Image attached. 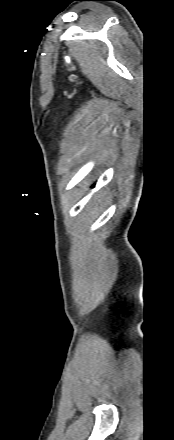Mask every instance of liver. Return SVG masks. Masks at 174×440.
<instances>
[{"mask_svg":"<svg viewBox=\"0 0 174 440\" xmlns=\"http://www.w3.org/2000/svg\"><path fill=\"white\" fill-rule=\"evenodd\" d=\"M102 196H103V195H99V196L96 195L94 198H95V199H98V198H100V197H102Z\"/></svg>","mask_w":174,"mask_h":440,"instance_id":"1","label":"liver"}]
</instances>
